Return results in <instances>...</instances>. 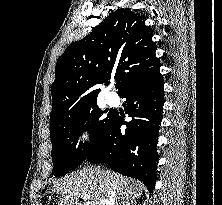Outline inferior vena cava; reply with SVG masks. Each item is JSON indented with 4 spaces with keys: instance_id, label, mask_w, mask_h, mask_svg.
I'll use <instances>...</instances> for the list:
<instances>
[{
    "instance_id": "obj_1",
    "label": "inferior vena cava",
    "mask_w": 222,
    "mask_h": 205,
    "mask_svg": "<svg viewBox=\"0 0 222 205\" xmlns=\"http://www.w3.org/2000/svg\"><path fill=\"white\" fill-rule=\"evenodd\" d=\"M116 191L110 187L106 190L104 197L101 200V205H115Z\"/></svg>"
}]
</instances>
